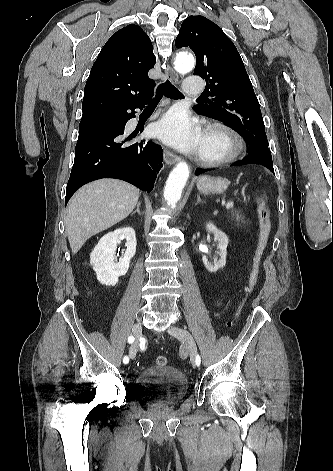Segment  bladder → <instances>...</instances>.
I'll use <instances>...</instances> for the list:
<instances>
[{
	"label": "bladder",
	"mask_w": 333,
	"mask_h": 471,
	"mask_svg": "<svg viewBox=\"0 0 333 471\" xmlns=\"http://www.w3.org/2000/svg\"><path fill=\"white\" fill-rule=\"evenodd\" d=\"M188 380L172 365H152L143 369L133 386L137 398L151 404L178 403L188 391Z\"/></svg>",
	"instance_id": "1"
}]
</instances>
